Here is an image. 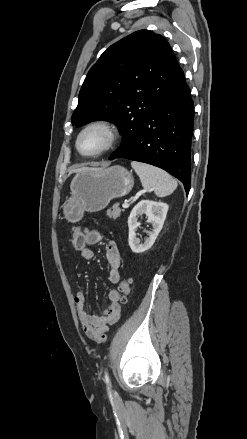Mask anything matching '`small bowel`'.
<instances>
[{"label": "small bowel", "mask_w": 247, "mask_h": 439, "mask_svg": "<svg viewBox=\"0 0 247 439\" xmlns=\"http://www.w3.org/2000/svg\"><path fill=\"white\" fill-rule=\"evenodd\" d=\"M103 233L98 229H88L85 233L87 246L98 244L103 239ZM84 260L93 257V251L86 247L79 252ZM106 260L109 268V280L113 284L120 282L121 257L116 242L109 241L106 246ZM122 294L114 289L109 292V305L101 315H91L86 309V298L83 291H78L74 297L78 318L85 335L92 341L101 343L107 338L109 326L116 323L120 317Z\"/></svg>", "instance_id": "c3829d8e"}]
</instances>
